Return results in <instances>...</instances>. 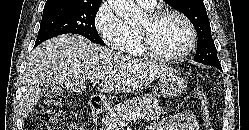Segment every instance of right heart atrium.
Instances as JSON below:
<instances>
[{
    "instance_id": "obj_1",
    "label": "right heart atrium",
    "mask_w": 249,
    "mask_h": 130,
    "mask_svg": "<svg viewBox=\"0 0 249 130\" xmlns=\"http://www.w3.org/2000/svg\"><path fill=\"white\" fill-rule=\"evenodd\" d=\"M94 28L104 43L113 48L119 49L124 35L125 24L116 15L108 2H103L94 15Z\"/></svg>"
}]
</instances>
